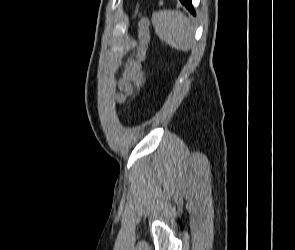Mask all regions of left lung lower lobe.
<instances>
[{"instance_id":"left-lung-lower-lobe-1","label":"left lung lower lobe","mask_w":295,"mask_h":250,"mask_svg":"<svg viewBox=\"0 0 295 250\" xmlns=\"http://www.w3.org/2000/svg\"><path fill=\"white\" fill-rule=\"evenodd\" d=\"M180 2L186 6L187 9L193 14H195L193 7H192V2L191 0H180Z\"/></svg>"}]
</instances>
